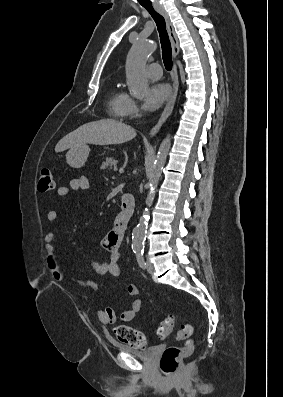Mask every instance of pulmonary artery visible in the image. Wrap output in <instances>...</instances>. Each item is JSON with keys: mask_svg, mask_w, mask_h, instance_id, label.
I'll return each mask as SVG.
<instances>
[{"mask_svg": "<svg viewBox=\"0 0 283 397\" xmlns=\"http://www.w3.org/2000/svg\"><path fill=\"white\" fill-rule=\"evenodd\" d=\"M147 73L150 79L158 80L162 76V68L158 63H152L147 68Z\"/></svg>", "mask_w": 283, "mask_h": 397, "instance_id": "1", "label": "pulmonary artery"}]
</instances>
